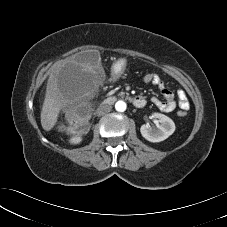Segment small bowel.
Instances as JSON below:
<instances>
[{
    "label": "small bowel",
    "instance_id": "obj_1",
    "mask_svg": "<svg viewBox=\"0 0 227 227\" xmlns=\"http://www.w3.org/2000/svg\"><path fill=\"white\" fill-rule=\"evenodd\" d=\"M153 85L159 88V90L165 100H160L157 97H152L151 98L152 103L159 110H161L163 112H167V113L172 112L177 106L174 93L165 86L163 80L158 75H157L156 80L153 83ZM177 96H178L179 108L181 110H185V111L188 110L190 107V104H189V101H188V98H187L185 92L182 90H179L177 93Z\"/></svg>",
    "mask_w": 227,
    "mask_h": 227
}]
</instances>
